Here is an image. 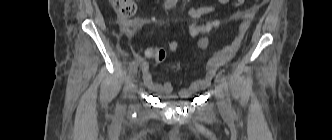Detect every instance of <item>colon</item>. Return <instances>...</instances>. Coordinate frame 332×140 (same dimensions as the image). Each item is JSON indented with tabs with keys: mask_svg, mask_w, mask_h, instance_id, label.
Listing matches in <instances>:
<instances>
[{
	"mask_svg": "<svg viewBox=\"0 0 332 140\" xmlns=\"http://www.w3.org/2000/svg\"><path fill=\"white\" fill-rule=\"evenodd\" d=\"M255 4H261L267 0H253ZM113 7L124 18L132 17L137 9L134 0H110ZM217 26V22L210 21L206 23L189 22L184 25V29L192 36H199L209 32L212 28ZM148 54L157 62H162L165 59L166 53L161 48H155L148 52Z\"/></svg>",
	"mask_w": 332,
	"mask_h": 140,
	"instance_id": "5ec220e1",
	"label": "colon"
}]
</instances>
